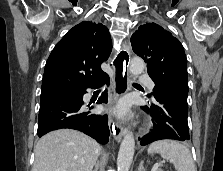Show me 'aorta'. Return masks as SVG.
I'll return each mask as SVG.
<instances>
[{
	"mask_svg": "<svg viewBox=\"0 0 223 171\" xmlns=\"http://www.w3.org/2000/svg\"><path fill=\"white\" fill-rule=\"evenodd\" d=\"M145 68L144 61L134 57L129 62V70L133 76L140 75ZM135 151V140L133 133L128 131L120 145L117 158V171H129Z\"/></svg>",
	"mask_w": 223,
	"mask_h": 171,
	"instance_id": "aorta-1",
	"label": "aorta"
}]
</instances>
